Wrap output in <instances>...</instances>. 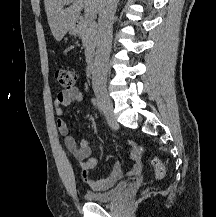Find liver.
Wrapping results in <instances>:
<instances>
[{
	"mask_svg": "<svg viewBox=\"0 0 216 217\" xmlns=\"http://www.w3.org/2000/svg\"><path fill=\"white\" fill-rule=\"evenodd\" d=\"M103 0H44L45 11L51 32L56 41H61L69 29L75 26L81 10L99 13Z\"/></svg>",
	"mask_w": 216,
	"mask_h": 217,
	"instance_id": "6515ba94",
	"label": "liver"
}]
</instances>
